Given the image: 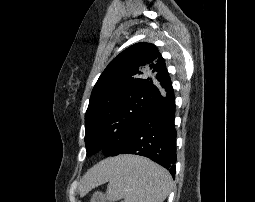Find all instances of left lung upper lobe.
Returning a JSON list of instances; mask_svg holds the SVG:
<instances>
[{"instance_id":"left-lung-upper-lobe-1","label":"left lung upper lobe","mask_w":255,"mask_h":202,"mask_svg":"<svg viewBox=\"0 0 255 202\" xmlns=\"http://www.w3.org/2000/svg\"><path fill=\"white\" fill-rule=\"evenodd\" d=\"M173 93L164 59L155 45L137 43L116 56L91 93L85 114L88 153L103 148L116 156L143 119Z\"/></svg>"}]
</instances>
